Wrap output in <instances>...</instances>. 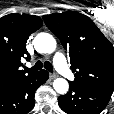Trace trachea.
I'll return each mask as SVG.
<instances>
[{
  "label": "trachea",
  "instance_id": "obj_1",
  "mask_svg": "<svg viewBox=\"0 0 114 114\" xmlns=\"http://www.w3.org/2000/svg\"><path fill=\"white\" fill-rule=\"evenodd\" d=\"M45 68L46 70H48L49 72H53V66L49 61H45L44 63L41 62L40 60L36 62V64L31 67V68H26L27 71L29 72H35L38 71L42 68Z\"/></svg>",
  "mask_w": 114,
  "mask_h": 114
}]
</instances>
